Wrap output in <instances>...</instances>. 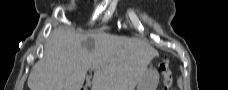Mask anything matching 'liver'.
I'll use <instances>...</instances> for the list:
<instances>
[{"label":"liver","instance_id":"obj_1","mask_svg":"<svg viewBox=\"0 0 228 90\" xmlns=\"http://www.w3.org/2000/svg\"><path fill=\"white\" fill-rule=\"evenodd\" d=\"M87 38L71 28L54 29L28 77L30 90H81L88 70H94L91 90H134L158 55L136 37L94 34L91 51L83 46Z\"/></svg>","mask_w":228,"mask_h":90}]
</instances>
